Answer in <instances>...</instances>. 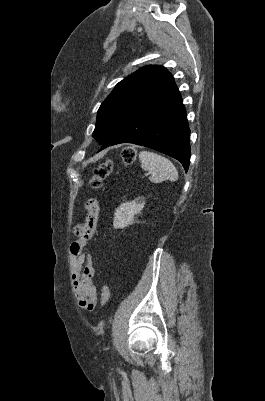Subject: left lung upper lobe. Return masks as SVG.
I'll list each match as a JSON object with an SVG mask.
<instances>
[{"label":"left lung upper lobe","instance_id":"left-lung-upper-lobe-1","mask_svg":"<svg viewBox=\"0 0 265 401\" xmlns=\"http://www.w3.org/2000/svg\"><path fill=\"white\" fill-rule=\"evenodd\" d=\"M162 66L148 65L119 82L101 104L93 137L103 144L146 104L174 84Z\"/></svg>","mask_w":265,"mask_h":401}]
</instances>
